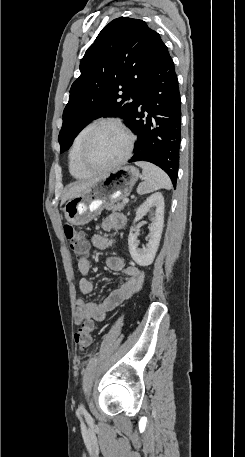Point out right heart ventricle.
<instances>
[{"label":"right heart ventricle","mask_w":245,"mask_h":457,"mask_svg":"<svg viewBox=\"0 0 245 457\" xmlns=\"http://www.w3.org/2000/svg\"><path fill=\"white\" fill-rule=\"evenodd\" d=\"M95 125V122H91L85 125L76 135L74 141L72 143L70 153H69V169L72 176L78 180H84L89 177L87 173H85L78 164L77 161V154L78 150L81 147L83 140L87 134V132Z\"/></svg>","instance_id":"e07e8e85"}]
</instances>
